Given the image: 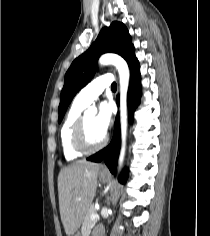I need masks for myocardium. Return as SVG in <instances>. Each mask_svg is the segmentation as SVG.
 I'll return each mask as SVG.
<instances>
[{
    "instance_id": "myocardium-1",
    "label": "myocardium",
    "mask_w": 210,
    "mask_h": 236,
    "mask_svg": "<svg viewBox=\"0 0 210 236\" xmlns=\"http://www.w3.org/2000/svg\"><path fill=\"white\" fill-rule=\"evenodd\" d=\"M107 140L108 136L104 134L100 142L96 144L90 143L87 137L86 114H82L79 117L72 133V146L76 151L83 154L97 151L105 146Z\"/></svg>"
}]
</instances>
